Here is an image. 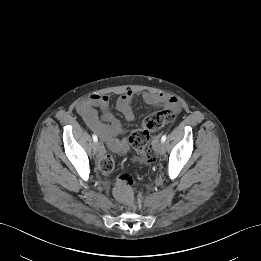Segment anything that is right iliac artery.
I'll use <instances>...</instances> for the list:
<instances>
[{"mask_svg":"<svg viewBox=\"0 0 261 261\" xmlns=\"http://www.w3.org/2000/svg\"><path fill=\"white\" fill-rule=\"evenodd\" d=\"M92 138H93V141H94V142H97V141H98V138H97V136H96L95 134L92 135Z\"/></svg>","mask_w":261,"mask_h":261,"instance_id":"1","label":"right iliac artery"}]
</instances>
